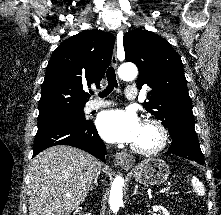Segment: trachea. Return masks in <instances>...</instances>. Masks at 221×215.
<instances>
[{
  "instance_id": "obj_1",
  "label": "trachea",
  "mask_w": 221,
  "mask_h": 215,
  "mask_svg": "<svg viewBox=\"0 0 221 215\" xmlns=\"http://www.w3.org/2000/svg\"><path fill=\"white\" fill-rule=\"evenodd\" d=\"M106 77L108 81V86L106 89L99 93L100 97H106L109 95L115 87H118V83L116 80V74L113 67H109L106 72Z\"/></svg>"
}]
</instances>
